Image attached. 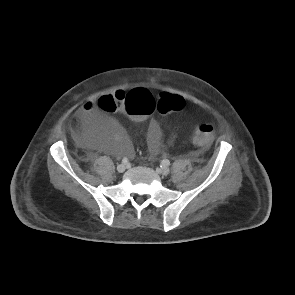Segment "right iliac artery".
<instances>
[{
    "label": "right iliac artery",
    "mask_w": 295,
    "mask_h": 295,
    "mask_svg": "<svg viewBox=\"0 0 295 295\" xmlns=\"http://www.w3.org/2000/svg\"><path fill=\"white\" fill-rule=\"evenodd\" d=\"M122 163H124V164L128 163V159H127L126 157L123 158V159H122Z\"/></svg>",
    "instance_id": "right-iliac-artery-1"
}]
</instances>
